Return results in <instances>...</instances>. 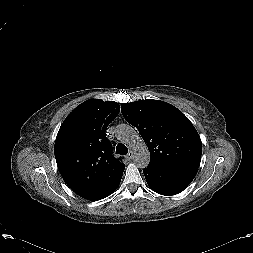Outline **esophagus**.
<instances>
[{"mask_svg": "<svg viewBox=\"0 0 253 253\" xmlns=\"http://www.w3.org/2000/svg\"><path fill=\"white\" fill-rule=\"evenodd\" d=\"M132 158H133V151L130 150L129 153L127 154V156H126V159L131 160Z\"/></svg>", "mask_w": 253, "mask_h": 253, "instance_id": "1", "label": "esophagus"}]
</instances>
